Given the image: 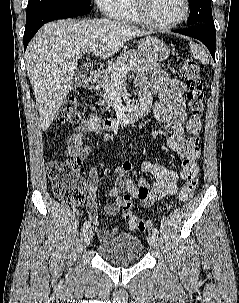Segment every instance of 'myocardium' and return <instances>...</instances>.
Masks as SVG:
<instances>
[{
	"instance_id": "myocardium-1",
	"label": "myocardium",
	"mask_w": 239,
	"mask_h": 303,
	"mask_svg": "<svg viewBox=\"0 0 239 303\" xmlns=\"http://www.w3.org/2000/svg\"><path fill=\"white\" fill-rule=\"evenodd\" d=\"M146 0H132V5H133V9L134 12L137 16V18L139 19V21L152 29H158V30H168V29H173L177 26H179L180 24H182L184 21H186V19L189 16L190 13V2L189 0H183V4H184V11L183 14L181 15L180 18H178L177 20L171 22V23H156L154 21H152L147 14V10H146Z\"/></svg>"
}]
</instances>
